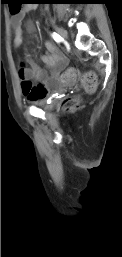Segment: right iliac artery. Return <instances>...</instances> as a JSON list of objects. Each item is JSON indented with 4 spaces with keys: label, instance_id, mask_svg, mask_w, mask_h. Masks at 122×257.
I'll list each match as a JSON object with an SVG mask.
<instances>
[{
    "label": "right iliac artery",
    "instance_id": "1",
    "mask_svg": "<svg viewBox=\"0 0 122 257\" xmlns=\"http://www.w3.org/2000/svg\"><path fill=\"white\" fill-rule=\"evenodd\" d=\"M51 36L57 43H59L62 40L61 36H59L57 33H52Z\"/></svg>",
    "mask_w": 122,
    "mask_h": 257
}]
</instances>
